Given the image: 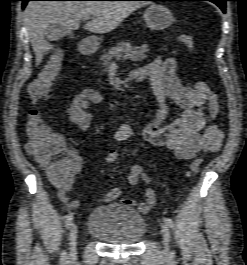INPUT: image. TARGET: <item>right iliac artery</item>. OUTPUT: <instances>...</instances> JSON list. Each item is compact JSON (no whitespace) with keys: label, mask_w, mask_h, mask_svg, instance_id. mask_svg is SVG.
Returning a JSON list of instances; mask_svg holds the SVG:
<instances>
[{"label":"right iliac artery","mask_w":247,"mask_h":265,"mask_svg":"<svg viewBox=\"0 0 247 265\" xmlns=\"http://www.w3.org/2000/svg\"><path fill=\"white\" fill-rule=\"evenodd\" d=\"M72 221H73V213H70L69 215L66 216V219H65V227L67 229L70 228V226L72 225ZM61 259H62V261H66V259H67L66 252H63L61 254Z\"/></svg>","instance_id":"82829eb1"}]
</instances>
